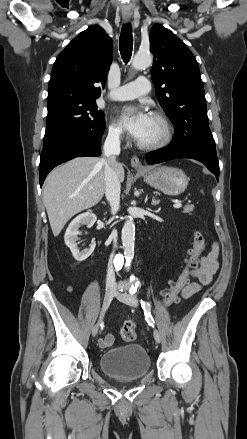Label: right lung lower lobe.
<instances>
[{"instance_id":"right-lung-lower-lobe-1","label":"right lung lower lobe","mask_w":247,"mask_h":439,"mask_svg":"<svg viewBox=\"0 0 247 439\" xmlns=\"http://www.w3.org/2000/svg\"><path fill=\"white\" fill-rule=\"evenodd\" d=\"M103 132L76 135L43 145L39 165L40 186L43 185L47 174L57 165L75 157L99 156Z\"/></svg>"}]
</instances>
